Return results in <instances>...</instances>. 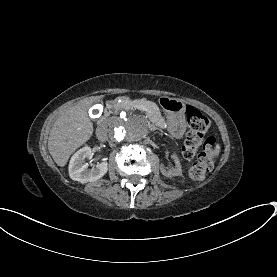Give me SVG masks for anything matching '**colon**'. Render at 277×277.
<instances>
[{
    "label": "colon",
    "instance_id": "obj_1",
    "mask_svg": "<svg viewBox=\"0 0 277 277\" xmlns=\"http://www.w3.org/2000/svg\"><path fill=\"white\" fill-rule=\"evenodd\" d=\"M185 119L189 132L181 154L184 159L191 161L187 168L190 178L194 181H200L204 179L211 166L216 138L206 135L210 121L199 110L188 107L185 112Z\"/></svg>",
    "mask_w": 277,
    "mask_h": 277
}]
</instances>
